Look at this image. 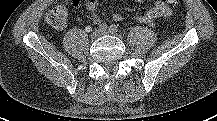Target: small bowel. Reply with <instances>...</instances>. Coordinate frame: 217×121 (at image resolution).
<instances>
[{
  "mask_svg": "<svg viewBox=\"0 0 217 121\" xmlns=\"http://www.w3.org/2000/svg\"><path fill=\"white\" fill-rule=\"evenodd\" d=\"M137 2H142L144 0H135ZM79 0H72V4L76 6ZM98 0H87L86 8L91 14L93 23L99 24L100 18L96 13V7ZM171 15V9L163 2V0H156L154 6L149 9L146 13L139 15L137 20L143 24L154 25L155 21L161 17H168ZM114 20L119 21L122 19L120 14L114 15Z\"/></svg>",
  "mask_w": 217,
  "mask_h": 121,
  "instance_id": "1",
  "label": "small bowel"
}]
</instances>
